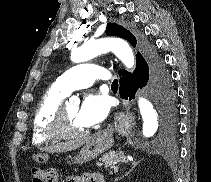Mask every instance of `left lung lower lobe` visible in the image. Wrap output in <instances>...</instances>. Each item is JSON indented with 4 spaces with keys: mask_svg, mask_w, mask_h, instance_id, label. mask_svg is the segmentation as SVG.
<instances>
[{
    "mask_svg": "<svg viewBox=\"0 0 211 182\" xmlns=\"http://www.w3.org/2000/svg\"><path fill=\"white\" fill-rule=\"evenodd\" d=\"M119 75L121 98L134 99L137 89L146 87L162 114L168 115V110L172 107L174 100V90L163 61L154 48H149L143 55L140 52L136 54V68L133 74L123 70L119 72Z\"/></svg>",
    "mask_w": 211,
    "mask_h": 182,
    "instance_id": "0a47b994",
    "label": "left lung lower lobe"
}]
</instances>
